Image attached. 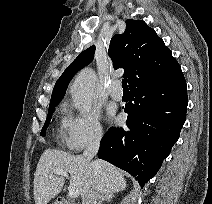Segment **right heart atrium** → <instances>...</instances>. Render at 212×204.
Here are the masks:
<instances>
[{
	"mask_svg": "<svg viewBox=\"0 0 212 204\" xmlns=\"http://www.w3.org/2000/svg\"><path fill=\"white\" fill-rule=\"evenodd\" d=\"M63 125L64 143L73 152L82 151L90 145L99 143L104 135L100 116L96 111L69 112Z\"/></svg>",
	"mask_w": 212,
	"mask_h": 204,
	"instance_id": "obj_1",
	"label": "right heart atrium"
}]
</instances>
